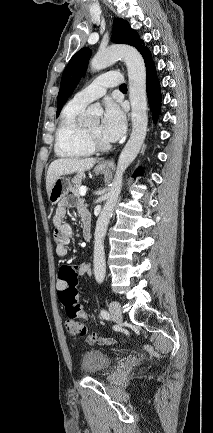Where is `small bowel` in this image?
I'll list each match as a JSON object with an SVG mask.
<instances>
[{"mask_svg":"<svg viewBox=\"0 0 213 433\" xmlns=\"http://www.w3.org/2000/svg\"><path fill=\"white\" fill-rule=\"evenodd\" d=\"M70 206H75L79 212L82 228L84 226H90L91 217L86 209L85 205L80 202H72L70 199L65 198L61 200L56 208L55 214L53 216V224L55 227L54 237L56 240L55 252L60 257H65L68 254V246L74 237V232L69 223L65 221L67 210ZM78 275H92V267L89 263H82L77 266H73ZM64 283L60 280L57 281V289L60 291L63 289ZM87 315L85 319H88ZM87 341L89 343H99L101 345H108L114 342L111 338L100 337L96 334L95 338L92 340L91 335L88 336Z\"/></svg>","mask_w":213,"mask_h":433,"instance_id":"small-bowel-1","label":"small bowel"}]
</instances>
